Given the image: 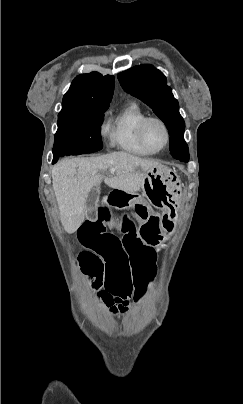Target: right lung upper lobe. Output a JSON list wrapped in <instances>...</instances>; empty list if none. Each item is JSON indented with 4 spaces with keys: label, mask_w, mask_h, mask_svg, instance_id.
<instances>
[{
    "label": "right lung upper lobe",
    "mask_w": 243,
    "mask_h": 404,
    "mask_svg": "<svg viewBox=\"0 0 243 404\" xmlns=\"http://www.w3.org/2000/svg\"><path fill=\"white\" fill-rule=\"evenodd\" d=\"M114 90V77L98 72L78 75L62 101L61 111L98 110L109 107Z\"/></svg>",
    "instance_id": "1"
}]
</instances>
